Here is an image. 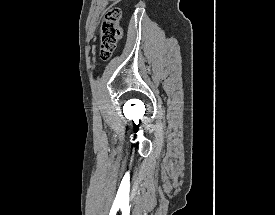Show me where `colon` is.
Masks as SVG:
<instances>
[{"instance_id":"1","label":"colon","mask_w":275,"mask_h":215,"mask_svg":"<svg viewBox=\"0 0 275 215\" xmlns=\"http://www.w3.org/2000/svg\"><path fill=\"white\" fill-rule=\"evenodd\" d=\"M120 19L121 10L118 7H111L105 14L99 36V52L103 60L112 56L122 37Z\"/></svg>"}]
</instances>
